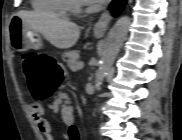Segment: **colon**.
Segmentation results:
<instances>
[{"mask_svg": "<svg viewBox=\"0 0 182 140\" xmlns=\"http://www.w3.org/2000/svg\"><path fill=\"white\" fill-rule=\"evenodd\" d=\"M24 73L36 100L50 98L64 79V71L56 59L37 54L24 57ZM68 134L70 140H81L80 130L73 122Z\"/></svg>", "mask_w": 182, "mask_h": 140, "instance_id": "5ec220e1", "label": "colon"}]
</instances>
